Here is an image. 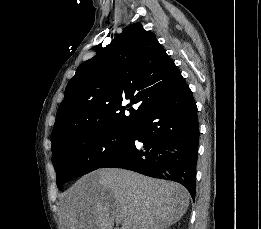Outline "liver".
<instances>
[{
	"label": "liver",
	"mask_w": 261,
	"mask_h": 229,
	"mask_svg": "<svg viewBox=\"0 0 261 229\" xmlns=\"http://www.w3.org/2000/svg\"><path fill=\"white\" fill-rule=\"evenodd\" d=\"M190 195L173 181L125 169H98L76 181L63 201L66 229H168L185 215Z\"/></svg>",
	"instance_id": "liver-1"
}]
</instances>
